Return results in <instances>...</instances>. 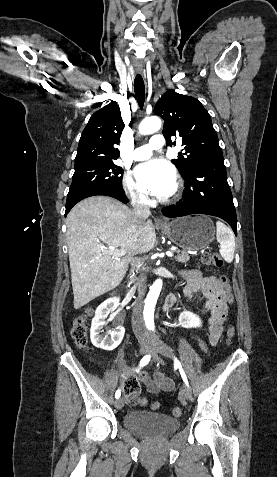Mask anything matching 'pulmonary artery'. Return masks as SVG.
<instances>
[{
  "mask_svg": "<svg viewBox=\"0 0 277 477\" xmlns=\"http://www.w3.org/2000/svg\"><path fill=\"white\" fill-rule=\"evenodd\" d=\"M164 146V138L161 135H153L147 145L140 146L134 150L135 160H145L151 157L152 151Z\"/></svg>",
  "mask_w": 277,
  "mask_h": 477,
  "instance_id": "pulmonary-artery-1",
  "label": "pulmonary artery"
}]
</instances>
